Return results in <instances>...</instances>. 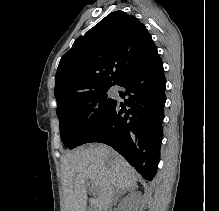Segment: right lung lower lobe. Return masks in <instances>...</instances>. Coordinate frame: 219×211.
I'll list each match as a JSON object with an SVG mask.
<instances>
[{
  "label": "right lung lower lobe",
  "mask_w": 219,
  "mask_h": 211,
  "mask_svg": "<svg viewBox=\"0 0 219 211\" xmlns=\"http://www.w3.org/2000/svg\"><path fill=\"white\" fill-rule=\"evenodd\" d=\"M116 86L123 103L115 100L108 115L93 126L81 143L100 142L113 147L143 178L151 181L157 172L163 138V108L166 102L163 63L158 56L128 73Z\"/></svg>",
  "instance_id": "1"
}]
</instances>
